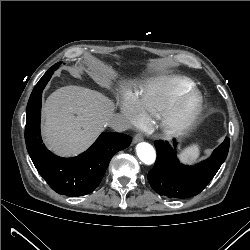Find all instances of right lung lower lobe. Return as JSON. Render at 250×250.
<instances>
[{
  "label": "right lung lower lobe",
  "mask_w": 250,
  "mask_h": 250,
  "mask_svg": "<svg viewBox=\"0 0 250 250\" xmlns=\"http://www.w3.org/2000/svg\"><path fill=\"white\" fill-rule=\"evenodd\" d=\"M58 67L53 65L35 85L26 111L25 141L39 174L57 193L77 197L91 193L101 182L115 153L127 148L131 138L121 133L103 132L84 153L61 158L42 143L40 114L42 91Z\"/></svg>",
  "instance_id": "1"
}]
</instances>
